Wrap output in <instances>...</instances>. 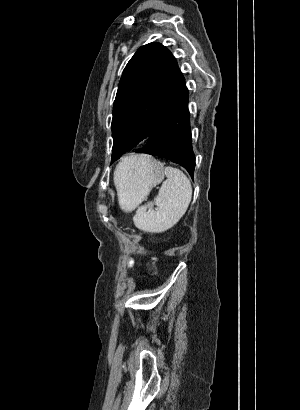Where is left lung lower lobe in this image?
<instances>
[{
	"instance_id": "left-lung-lower-lobe-1",
	"label": "left lung lower lobe",
	"mask_w": 300,
	"mask_h": 410,
	"mask_svg": "<svg viewBox=\"0 0 300 410\" xmlns=\"http://www.w3.org/2000/svg\"><path fill=\"white\" fill-rule=\"evenodd\" d=\"M188 90L182 100L161 120L149 136L145 147L137 153H146L169 159L183 166L191 176L195 168L192 150Z\"/></svg>"
}]
</instances>
